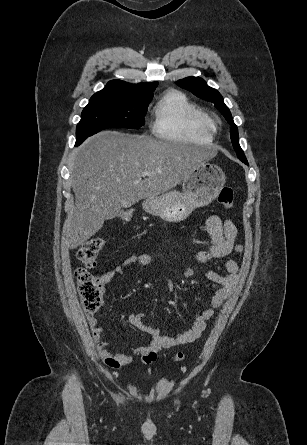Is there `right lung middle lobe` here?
<instances>
[{
	"instance_id": "dd1d6c3e",
	"label": "right lung middle lobe",
	"mask_w": 307,
	"mask_h": 445,
	"mask_svg": "<svg viewBox=\"0 0 307 445\" xmlns=\"http://www.w3.org/2000/svg\"><path fill=\"white\" fill-rule=\"evenodd\" d=\"M152 99H137L113 95H93L83 109L77 125L76 138L87 137L107 128L137 129L145 123V113Z\"/></svg>"
}]
</instances>
